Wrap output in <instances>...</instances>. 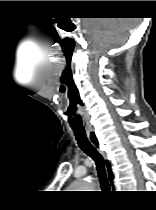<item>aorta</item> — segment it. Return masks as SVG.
<instances>
[{
    "mask_svg": "<svg viewBox=\"0 0 156 210\" xmlns=\"http://www.w3.org/2000/svg\"><path fill=\"white\" fill-rule=\"evenodd\" d=\"M75 189H92L90 178L83 179L73 185ZM81 191V190H78Z\"/></svg>",
    "mask_w": 156,
    "mask_h": 210,
    "instance_id": "762f6f07",
    "label": "aorta"
}]
</instances>
